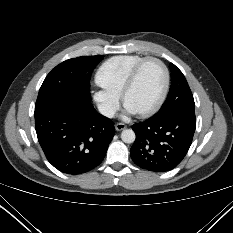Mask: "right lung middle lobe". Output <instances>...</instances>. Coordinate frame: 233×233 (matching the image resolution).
Here are the masks:
<instances>
[{
    "instance_id": "right-lung-middle-lobe-1",
    "label": "right lung middle lobe",
    "mask_w": 233,
    "mask_h": 233,
    "mask_svg": "<svg viewBox=\"0 0 233 233\" xmlns=\"http://www.w3.org/2000/svg\"><path fill=\"white\" fill-rule=\"evenodd\" d=\"M103 56H82L57 65L40 87L35 108L56 99L91 101L90 77Z\"/></svg>"
}]
</instances>
